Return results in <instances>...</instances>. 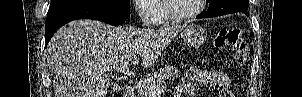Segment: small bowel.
<instances>
[{
    "instance_id": "1",
    "label": "small bowel",
    "mask_w": 302,
    "mask_h": 97,
    "mask_svg": "<svg viewBox=\"0 0 302 97\" xmlns=\"http://www.w3.org/2000/svg\"><path fill=\"white\" fill-rule=\"evenodd\" d=\"M199 86L214 90L218 97H235L230 89V79L225 73L197 67H191L186 71L176 86L175 97H182L184 94L193 97Z\"/></svg>"
}]
</instances>
